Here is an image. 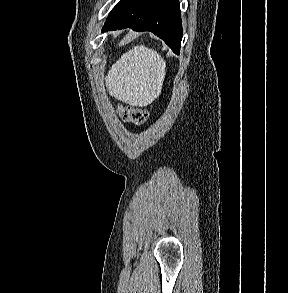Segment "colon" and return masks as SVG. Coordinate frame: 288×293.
<instances>
[{"mask_svg":"<svg viewBox=\"0 0 288 293\" xmlns=\"http://www.w3.org/2000/svg\"><path fill=\"white\" fill-rule=\"evenodd\" d=\"M118 112L123 120L135 125L145 123L149 117V112L140 108L120 107Z\"/></svg>","mask_w":288,"mask_h":293,"instance_id":"5ec220e1","label":"colon"}]
</instances>
